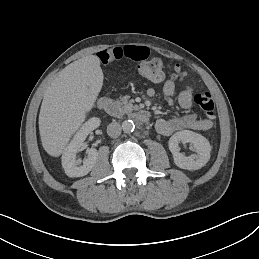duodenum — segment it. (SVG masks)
<instances>
[{"instance_id": "obj_1", "label": "duodenum", "mask_w": 259, "mask_h": 259, "mask_svg": "<svg viewBox=\"0 0 259 259\" xmlns=\"http://www.w3.org/2000/svg\"><path fill=\"white\" fill-rule=\"evenodd\" d=\"M98 106L102 111L111 116L120 117L123 115L122 106L110 98H101ZM131 116L140 123H147L149 121L148 115L143 111H133Z\"/></svg>"}]
</instances>
